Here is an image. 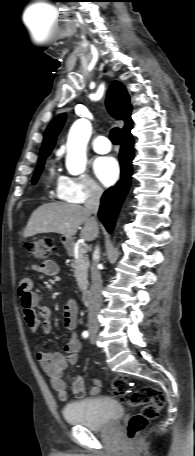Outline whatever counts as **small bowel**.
<instances>
[{
    "instance_id": "obj_1",
    "label": "small bowel",
    "mask_w": 195,
    "mask_h": 456,
    "mask_svg": "<svg viewBox=\"0 0 195 456\" xmlns=\"http://www.w3.org/2000/svg\"><path fill=\"white\" fill-rule=\"evenodd\" d=\"M29 269L39 276H55L59 272V266L53 260L31 264ZM17 293L20 298L24 320L30 330L36 332L41 329L44 333L49 334L52 330L50 309L47 306H41L37 309L38 296L34 292L33 280L29 277L22 278L18 283ZM77 313L76 303L73 300H69L64 306L63 325L65 329L70 331L64 353L59 351H39L36 354L43 371L50 379L52 388L63 402L69 398L68 387L63 374L67 367L76 364L80 351V342L75 332ZM71 389L77 398L85 397L87 394L97 396L102 391V384L99 379H94L92 388L87 392L85 379L83 376H79L72 382Z\"/></svg>"
}]
</instances>
